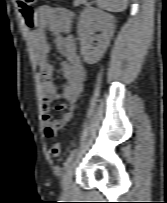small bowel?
<instances>
[{"label":"small bowel","mask_w":167,"mask_h":203,"mask_svg":"<svg viewBox=\"0 0 167 203\" xmlns=\"http://www.w3.org/2000/svg\"><path fill=\"white\" fill-rule=\"evenodd\" d=\"M72 29V15L67 10L44 6L35 12L30 41L41 72L42 122L47 138L54 137L73 118V111L86 79V70L77 53ZM48 31L55 35L56 48L64 57L60 64L64 78L60 91L54 83L55 68L50 59ZM58 99L63 100L56 107L61 112V117L54 119L51 104Z\"/></svg>","instance_id":"small-bowel-1"}]
</instances>
